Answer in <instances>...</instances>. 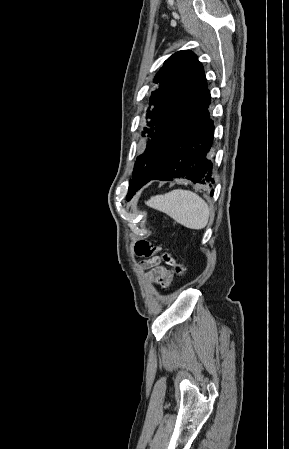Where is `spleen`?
I'll use <instances>...</instances> for the list:
<instances>
[{"mask_svg":"<svg viewBox=\"0 0 289 449\" xmlns=\"http://www.w3.org/2000/svg\"><path fill=\"white\" fill-rule=\"evenodd\" d=\"M145 203L189 229L201 230L208 224L209 207L192 191L176 189L164 195L153 196Z\"/></svg>","mask_w":289,"mask_h":449,"instance_id":"obj_1","label":"spleen"}]
</instances>
